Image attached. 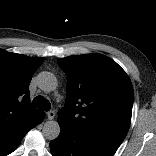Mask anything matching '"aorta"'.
Instances as JSON below:
<instances>
[{
	"label": "aorta",
	"mask_w": 156,
	"mask_h": 156,
	"mask_svg": "<svg viewBox=\"0 0 156 156\" xmlns=\"http://www.w3.org/2000/svg\"><path fill=\"white\" fill-rule=\"evenodd\" d=\"M38 87L44 92H51L57 87V79L51 72H41L38 75ZM43 136L48 140L56 139L60 134L59 123L55 120L44 123Z\"/></svg>",
	"instance_id": "obj_1"
}]
</instances>
